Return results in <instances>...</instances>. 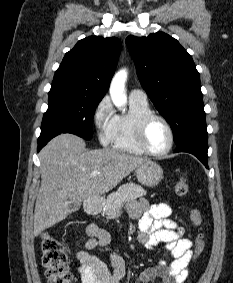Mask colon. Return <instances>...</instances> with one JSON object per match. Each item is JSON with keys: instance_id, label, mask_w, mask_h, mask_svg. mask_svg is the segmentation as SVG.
Returning <instances> with one entry per match:
<instances>
[{"instance_id": "colon-1", "label": "colon", "mask_w": 233, "mask_h": 283, "mask_svg": "<svg viewBox=\"0 0 233 283\" xmlns=\"http://www.w3.org/2000/svg\"><path fill=\"white\" fill-rule=\"evenodd\" d=\"M175 192L179 196L186 195L189 185L186 180L181 179L175 183ZM192 223L198 228L193 258H197L205 248V235L202 230V214L198 209L190 212ZM41 263L45 270L48 283H72L73 276L69 270L68 257L64 247L54 236L44 233L41 235Z\"/></svg>"}]
</instances>
